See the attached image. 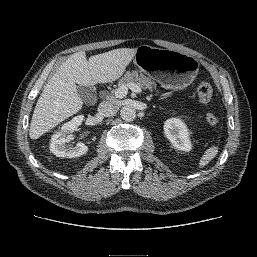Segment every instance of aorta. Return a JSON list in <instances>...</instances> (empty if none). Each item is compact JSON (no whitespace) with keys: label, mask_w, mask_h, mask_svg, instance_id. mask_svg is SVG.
<instances>
[{"label":"aorta","mask_w":257,"mask_h":257,"mask_svg":"<svg viewBox=\"0 0 257 257\" xmlns=\"http://www.w3.org/2000/svg\"><path fill=\"white\" fill-rule=\"evenodd\" d=\"M120 115L124 121L131 122L136 118V110L132 106H124L120 110Z\"/></svg>","instance_id":"aorta-1"}]
</instances>
